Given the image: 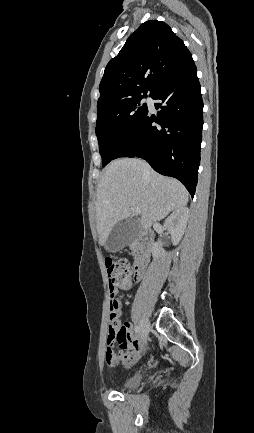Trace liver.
<instances>
[{"mask_svg": "<svg viewBox=\"0 0 254 433\" xmlns=\"http://www.w3.org/2000/svg\"><path fill=\"white\" fill-rule=\"evenodd\" d=\"M188 203L186 188L176 179L164 177L141 159L121 158L105 169L97 186L96 227L99 244L104 246L111 229L120 220L133 216L144 229Z\"/></svg>", "mask_w": 254, "mask_h": 433, "instance_id": "1", "label": "liver"}]
</instances>
